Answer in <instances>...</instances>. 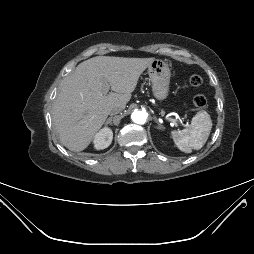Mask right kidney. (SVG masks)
Segmentation results:
<instances>
[{"instance_id": "right-kidney-1", "label": "right kidney", "mask_w": 254, "mask_h": 254, "mask_svg": "<svg viewBox=\"0 0 254 254\" xmlns=\"http://www.w3.org/2000/svg\"><path fill=\"white\" fill-rule=\"evenodd\" d=\"M113 139V132L110 128L101 129L94 137V147L97 150L107 148Z\"/></svg>"}]
</instances>
